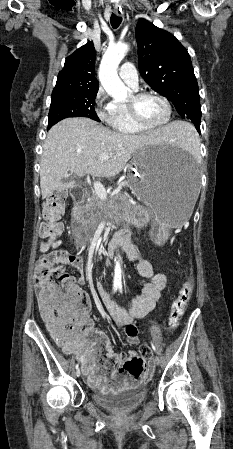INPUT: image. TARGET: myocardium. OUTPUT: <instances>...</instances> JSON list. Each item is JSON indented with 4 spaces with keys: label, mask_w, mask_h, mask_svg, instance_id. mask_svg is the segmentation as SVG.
<instances>
[{
    "label": "myocardium",
    "mask_w": 233,
    "mask_h": 449,
    "mask_svg": "<svg viewBox=\"0 0 233 449\" xmlns=\"http://www.w3.org/2000/svg\"><path fill=\"white\" fill-rule=\"evenodd\" d=\"M146 96L157 97L165 104L167 113L165 119L161 123L148 124L141 118L138 111V103L142 98ZM126 107L133 122L144 130H155L164 127L168 124L172 115V107L168 99L162 94L152 90L134 92L131 95V99L126 103Z\"/></svg>",
    "instance_id": "f54148a6"
}]
</instances>
